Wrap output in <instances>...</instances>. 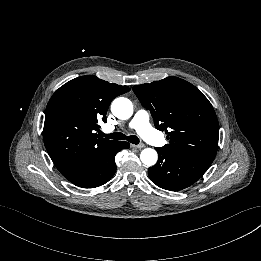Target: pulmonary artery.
<instances>
[{"mask_svg": "<svg viewBox=\"0 0 261 261\" xmlns=\"http://www.w3.org/2000/svg\"><path fill=\"white\" fill-rule=\"evenodd\" d=\"M129 126L134 128L145 140L153 141L150 137L149 114L145 109H138L129 122Z\"/></svg>", "mask_w": 261, "mask_h": 261, "instance_id": "obj_1", "label": "pulmonary artery"}]
</instances>
